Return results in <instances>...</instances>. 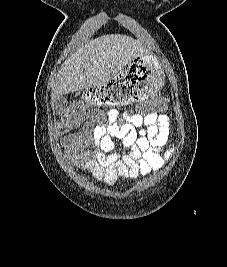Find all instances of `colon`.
<instances>
[{"instance_id": "1", "label": "colon", "mask_w": 227, "mask_h": 267, "mask_svg": "<svg viewBox=\"0 0 227 267\" xmlns=\"http://www.w3.org/2000/svg\"><path fill=\"white\" fill-rule=\"evenodd\" d=\"M168 101L165 98L156 97L147 102V105H138V110H145V115H160L164 113ZM143 115V112H140ZM86 119H104V110H97V114H90L84 101H76L70 104L62 113L58 129L64 132L67 129L79 126Z\"/></svg>"}]
</instances>
